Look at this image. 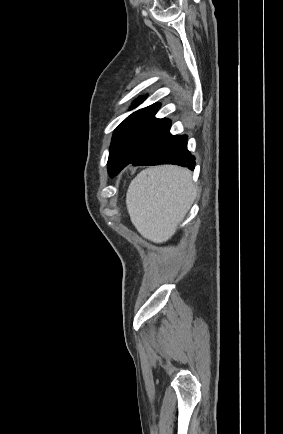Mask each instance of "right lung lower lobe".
Masks as SVG:
<instances>
[{
    "label": "right lung lower lobe",
    "instance_id": "98d812e1",
    "mask_svg": "<svg viewBox=\"0 0 283 434\" xmlns=\"http://www.w3.org/2000/svg\"><path fill=\"white\" fill-rule=\"evenodd\" d=\"M159 164H175L193 170L196 163L187 150V136L171 135L168 131L132 163L133 166Z\"/></svg>",
    "mask_w": 283,
    "mask_h": 434
}]
</instances>
